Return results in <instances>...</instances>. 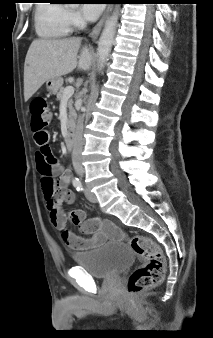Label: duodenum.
Listing matches in <instances>:
<instances>
[{"instance_id": "duodenum-1", "label": "duodenum", "mask_w": 213, "mask_h": 338, "mask_svg": "<svg viewBox=\"0 0 213 338\" xmlns=\"http://www.w3.org/2000/svg\"><path fill=\"white\" fill-rule=\"evenodd\" d=\"M74 133H75V129L73 126L69 127L68 129V135L65 141V145L67 147L68 150H71L73 147V142H74Z\"/></svg>"}]
</instances>
